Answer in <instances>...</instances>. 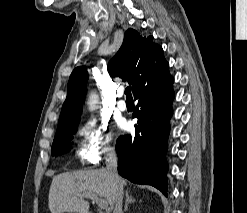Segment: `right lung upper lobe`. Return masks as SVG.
Here are the masks:
<instances>
[{
  "label": "right lung upper lobe",
  "instance_id": "obj_1",
  "mask_svg": "<svg viewBox=\"0 0 247 213\" xmlns=\"http://www.w3.org/2000/svg\"><path fill=\"white\" fill-rule=\"evenodd\" d=\"M168 67L163 49L153 42L152 36H141L137 31L128 29L121 48L109 62L110 76H119L132 84L134 91L147 81L158 76ZM88 74L80 66L70 75L67 98L62 106L58 129L78 126L81 115V103L86 94Z\"/></svg>",
  "mask_w": 247,
  "mask_h": 213
}]
</instances>
